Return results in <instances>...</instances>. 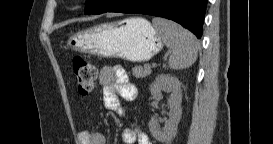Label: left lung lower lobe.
Returning a JSON list of instances; mask_svg holds the SVG:
<instances>
[{
    "label": "left lung lower lobe",
    "mask_w": 273,
    "mask_h": 144,
    "mask_svg": "<svg viewBox=\"0 0 273 144\" xmlns=\"http://www.w3.org/2000/svg\"><path fill=\"white\" fill-rule=\"evenodd\" d=\"M207 0H107L94 14L106 12L139 13L173 20L202 36Z\"/></svg>",
    "instance_id": "left-lung-lower-lobe-1"
}]
</instances>
